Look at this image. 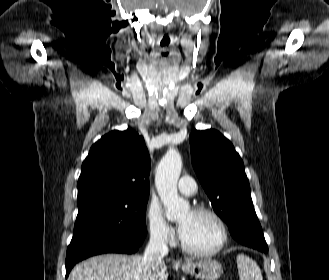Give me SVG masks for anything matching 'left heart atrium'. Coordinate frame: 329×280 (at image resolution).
<instances>
[{"mask_svg":"<svg viewBox=\"0 0 329 280\" xmlns=\"http://www.w3.org/2000/svg\"><path fill=\"white\" fill-rule=\"evenodd\" d=\"M182 230H183V227L181 225H179V233H180V235L182 233Z\"/></svg>","mask_w":329,"mask_h":280,"instance_id":"left-heart-atrium-1","label":"left heart atrium"}]
</instances>
